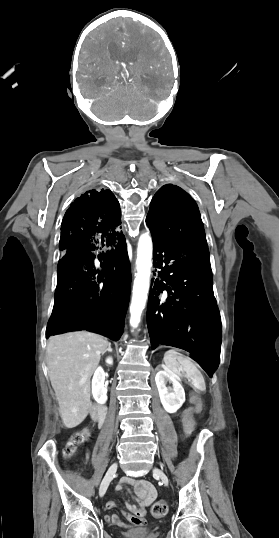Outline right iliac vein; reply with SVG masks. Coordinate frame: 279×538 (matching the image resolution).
Returning <instances> with one entry per match:
<instances>
[{"label": "right iliac vein", "instance_id": "63e3f726", "mask_svg": "<svg viewBox=\"0 0 279 538\" xmlns=\"http://www.w3.org/2000/svg\"><path fill=\"white\" fill-rule=\"evenodd\" d=\"M117 471V463H114L110 466V468L108 469L107 473L105 474L102 482H101V485H100V488H99V495L100 497H103L104 494L106 493V490L110 484V482L112 481L115 473Z\"/></svg>", "mask_w": 279, "mask_h": 538}]
</instances>
